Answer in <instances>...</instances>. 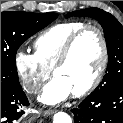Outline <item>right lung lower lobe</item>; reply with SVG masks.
I'll return each instance as SVG.
<instances>
[{
  "mask_svg": "<svg viewBox=\"0 0 123 123\" xmlns=\"http://www.w3.org/2000/svg\"><path fill=\"white\" fill-rule=\"evenodd\" d=\"M28 105V99L21 86H1V123H20L24 114L22 108Z\"/></svg>",
  "mask_w": 123,
  "mask_h": 123,
  "instance_id": "98d812e1",
  "label": "right lung lower lobe"
}]
</instances>
